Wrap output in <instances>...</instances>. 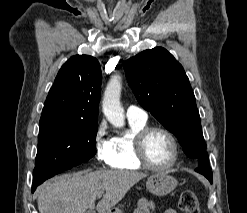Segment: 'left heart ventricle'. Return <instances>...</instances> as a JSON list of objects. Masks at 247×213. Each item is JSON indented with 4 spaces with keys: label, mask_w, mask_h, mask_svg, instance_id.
Masks as SVG:
<instances>
[{
    "label": "left heart ventricle",
    "mask_w": 247,
    "mask_h": 213,
    "mask_svg": "<svg viewBox=\"0 0 247 213\" xmlns=\"http://www.w3.org/2000/svg\"><path fill=\"white\" fill-rule=\"evenodd\" d=\"M144 149L148 161L155 166H165L172 159V144L162 132L150 133L146 138Z\"/></svg>",
    "instance_id": "1"
}]
</instances>
